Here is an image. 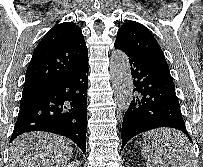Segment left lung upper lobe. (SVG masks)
Returning a JSON list of instances; mask_svg holds the SVG:
<instances>
[{"label": "left lung upper lobe", "mask_w": 203, "mask_h": 167, "mask_svg": "<svg viewBox=\"0 0 203 167\" xmlns=\"http://www.w3.org/2000/svg\"><path fill=\"white\" fill-rule=\"evenodd\" d=\"M115 43L152 63L169 68L156 39L146 27L138 22L124 23L118 30Z\"/></svg>", "instance_id": "obj_1"}]
</instances>
